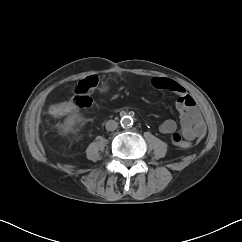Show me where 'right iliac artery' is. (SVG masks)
I'll return each instance as SVG.
<instances>
[{"label":"right iliac artery","instance_id":"obj_1","mask_svg":"<svg viewBox=\"0 0 242 242\" xmlns=\"http://www.w3.org/2000/svg\"><path fill=\"white\" fill-rule=\"evenodd\" d=\"M120 115L121 116H124V115H126V113L125 112H121Z\"/></svg>","mask_w":242,"mask_h":242}]
</instances>
